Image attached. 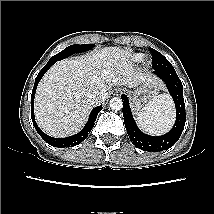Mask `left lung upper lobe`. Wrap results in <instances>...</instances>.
<instances>
[{
  "label": "left lung upper lobe",
  "instance_id": "left-lung-upper-lobe-1",
  "mask_svg": "<svg viewBox=\"0 0 214 214\" xmlns=\"http://www.w3.org/2000/svg\"><path fill=\"white\" fill-rule=\"evenodd\" d=\"M153 58V68L158 70L174 69L171 63L158 51L150 48Z\"/></svg>",
  "mask_w": 214,
  "mask_h": 214
}]
</instances>
